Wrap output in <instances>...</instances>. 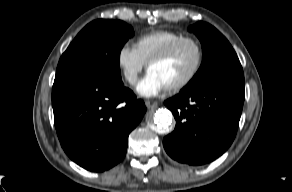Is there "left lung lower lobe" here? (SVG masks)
<instances>
[{
  "label": "left lung lower lobe",
  "mask_w": 292,
  "mask_h": 192,
  "mask_svg": "<svg viewBox=\"0 0 292 192\" xmlns=\"http://www.w3.org/2000/svg\"><path fill=\"white\" fill-rule=\"evenodd\" d=\"M244 82L225 81L181 91L165 101L176 119L163 139L174 160L202 165L221 156L233 142L244 102Z\"/></svg>",
  "instance_id": "obj_1"
}]
</instances>
